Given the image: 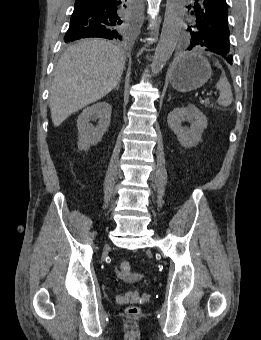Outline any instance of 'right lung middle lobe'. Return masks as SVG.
<instances>
[{
    "mask_svg": "<svg viewBox=\"0 0 261 340\" xmlns=\"http://www.w3.org/2000/svg\"><path fill=\"white\" fill-rule=\"evenodd\" d=\"M133 15V8L130 7L128 8L123 17L116 22L110 30L107 31L106 37L104 38H108V39H122L124 37H126L129 33V21L131 19ZM84 36L82 34L79 33H67L64 37V41L66 43L68 42H72L74 40H78L83 38Z\"/></svg>",
    "mask_w": 261,
    "mask_h": 340,
    "instance_id": "obj_1",
    "label": "right lung middle lobe"
}]
</instances>
